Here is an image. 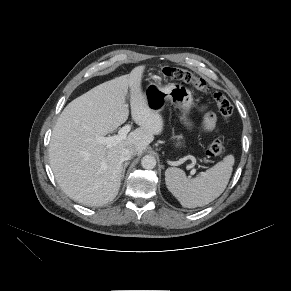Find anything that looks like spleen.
I'll return each instance as SVG.
<instances>
[{
  "mask_svg": "<svg viewBox=\"0 0 291 291\" xmlns=\"http://www.w3.org/2000/svg\"><path fill=\"white\" fill-rule=\"evenodd\" d=\"M233 165L234 156L228 155L223 161L192 179L187 178L179 168H168L165 172L166 186L183 207L205 206L224 192Z\"/></svg>",
  "mask_w": 291,
  "mask_h": 291,
  "instance_id": "obj_1",
  "label": "spleen"
}]
</instances>
